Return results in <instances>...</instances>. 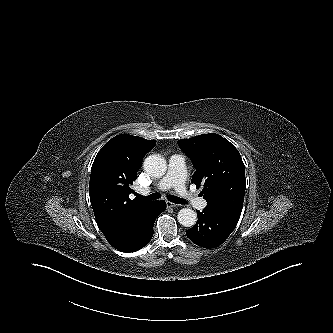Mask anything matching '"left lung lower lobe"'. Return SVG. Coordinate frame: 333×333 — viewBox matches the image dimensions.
Segmentation results:
<instances>
[{
	"label": "left lung lower lobe",
	"mask_w": 333,
	"mask_h": 333,
	"mask_svg": "<svg viewBox=\"0 0 333 333\" xmlns=\"http://www.w3.org/2000/svg\"><path fill=\"white\" fill-rule=\"evenodd\" d=\"M198 222L186 230L188 238L204 248H214L222 244L232 233L239 219L224 211L207 206L202 212L197 210Z\"/></svg>",
	"instance_id": "0a47b994"
}]
</instances>
